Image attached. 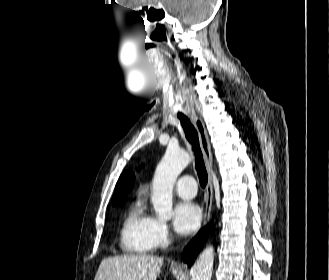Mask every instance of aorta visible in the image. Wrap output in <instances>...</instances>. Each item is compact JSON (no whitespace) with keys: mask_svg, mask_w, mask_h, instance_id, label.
Returning a JSON list of instances; mask_svg holds the SVG:
<instances>
[{"mask_svg":"<svg viewBox=\"0 0 329 280\" xmlns=\"http://www.w3.org/2000/svg\"><path fill=\"white\" fill-rule=\"evenodd\" d=\"M188 152L169 147L156 168L151 201L155 212L164 219L173 216V187L178 175L190 163ZM214 248L206 247L191 268V280H210L213 272Z\"/></svg>","mask_w":329,"mask_h":280,"instance_id":"1","label":"aorta"}]
</instances>
